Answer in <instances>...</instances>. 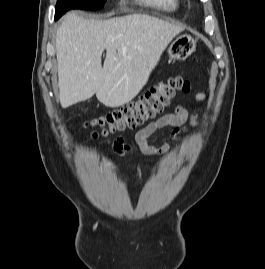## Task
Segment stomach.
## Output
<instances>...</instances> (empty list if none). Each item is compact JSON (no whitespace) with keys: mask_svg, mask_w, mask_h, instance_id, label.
I'll return each mask as SVG.
<instances>
[{"mask_svg":"<svg viewBox=\"0 0 265 269\" xmlns=\"http://www.w3.org/2000/svg\"><path fill=\"white\" fill-rule=\"evenodd\" d=\"M196 49V40L188 34L179 35L169 46L167 53L172 61H182Z\"/></svg>","mask_w":265,"mask_h":269,"instance_id":"0dacf381","label":"stomach"}]
</instances>
